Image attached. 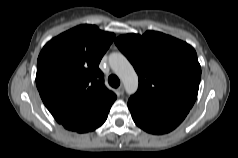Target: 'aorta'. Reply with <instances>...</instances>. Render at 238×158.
I'll use <instances>...</instances> for the list:
<instances>
[{"label":"aorta","mask_w":238,"mask_h":158,"mask_svg":"<svg viewBox=\"0 0 238 158\" xmlns=\"http://www.w3.org/2000/svg\"><path fill=\"white\" fill-rule=\"evenodd\" d=\"M109 64L123 82L126 92L134 94L138 88V76L128 59L120 52L111 53Z\"/></svg>","instance_id":"aorta-1"}]
</instances>
